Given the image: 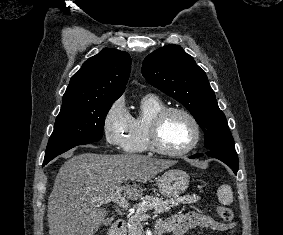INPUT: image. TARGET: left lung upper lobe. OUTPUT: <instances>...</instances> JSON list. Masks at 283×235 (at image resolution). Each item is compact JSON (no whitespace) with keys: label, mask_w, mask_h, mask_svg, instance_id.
<instances>
[{"label":"left lung upper lobe","mask_w":283,"mask_h":235,"mask_svg":"<svg viewBox=\"0 0 283 235\" xmlns=\"http://www.w3.org/2000/svg\"><path fill=\"white\" fill-rule=\"evenodd\" d=\"M142 74L149 84L188 109L204 131L207 149L235 148L206 73L180 46H164L149 54L143 61Z\"/></svg>","instance_id":"left-lung-upper-lobe-1"}]
</instances>
